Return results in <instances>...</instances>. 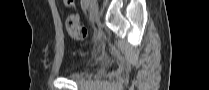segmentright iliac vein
I'll return each instance as SVG.
<instances>
[{"label":"right iliac vein","instance_id":"right-iliac-vein-1","mask_svg":"<svg viewBox=\"0 0 209 90\" xmlns=\"http://www.w3.org/2000/svg\"><path fill=\"white\" fill-rule=\"evenodd\" d=\"M89 12L92 21L96 22L99 16H98V6L95 1H89Z\"/></svg>","mask_w":209,"mask_h":90}]
</instances>
